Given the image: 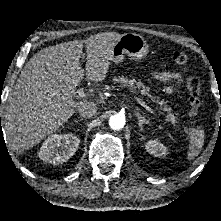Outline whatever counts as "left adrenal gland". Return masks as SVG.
<instances>
[{"instance_id":"obj_1","label":"left adrenal gland","mask_w":221,"mask_h":221,"mask_svg":"<svg viewBox=\"0 0 221 221\" xmlns=\"http://www.w3.org/2000/svg\"><path fill=\"white\" fill-rule=\"evenodd\" d=\"M135 115L137 116L138 118V125L140 127V130L142 131L143 130V124H146L147 123V120L145 119V117H143L140 112L138 110L135 111Z\"/></svg>"}]
</instances>
